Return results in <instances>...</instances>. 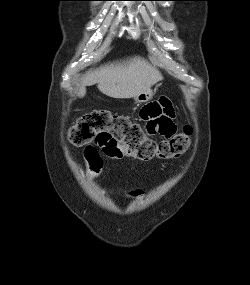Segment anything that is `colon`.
<instances>
[{"mask_svg":"<svg viewBox=\"0 0 250 285\" xmlns=\"http://www.w3.org/2000/svg\"><path fill=\"white\" fill-rule=\"evenodd\" d=\"M143 128L127 116L93 110L77 120L68 136L76 146L97 147L110 157L127 155L143 161L176 158L189 147L192 134L189 127L160 141L145 136Z\"/></svg>","mask_w":250,"mask_h":285,"instance_id":"colon-1","label":"colon"}]
</instances>
